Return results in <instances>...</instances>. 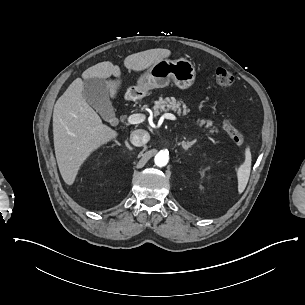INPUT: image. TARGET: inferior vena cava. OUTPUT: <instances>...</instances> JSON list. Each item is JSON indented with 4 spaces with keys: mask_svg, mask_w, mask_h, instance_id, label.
<instances>
[{
    "mask_svg": "<svg viewBox=\"0 0 305 305\" xmlns=\"http://www.w3.org/2000/svg\"><path fill=\"white\" fill-rule=\"evenodd\" d=\"M149 140L150 136L145 130H135L130 135V142L136 147L143 146Z\"/></svg>",
    "mask_w": 305,
    "mask_h": 305,
    "instance_id": "1",
    "label": "inferior vena cava"
}]
</instances>
